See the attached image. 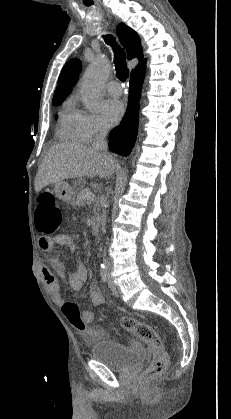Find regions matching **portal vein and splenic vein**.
<instances>
[{"mask_svg": "<svg viewBox=\"0 0 231 419\" xmlns=\"http://www.w3.org/2000/svg\"><path fill=\"white\" fill-rule=\"evenodd\" d=\"M85 198L87 199V201H93L94 200V198H95V195L93 194V193H87L86 195H85Z\"/></svg>", "mask_w": 231, "mask_h": 419, "instance_id": "1", "label": "portal vein and splenic vein"}]
</instances>
